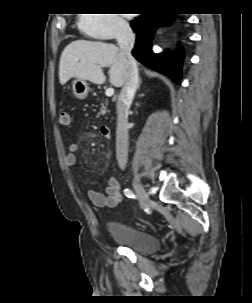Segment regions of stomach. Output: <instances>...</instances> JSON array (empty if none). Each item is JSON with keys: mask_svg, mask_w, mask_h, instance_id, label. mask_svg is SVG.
<instances>
[{"mask_svg": "<svg viewBox=\"0 0 252 303\" xmlns=\"http://www.w3.org/2000/svg\"><path fill=\"white\" fill-rule=\"evenodd\" d=\"M72 90L75 95V97L79 99H85L88 95V92L90 90L89 84L82 79H75L72 82Z\"/></svg>", "mask_w": 252, "mask_h": 303, "instance_id": "stomach-1", "label": "stomach"}]
</instances>
